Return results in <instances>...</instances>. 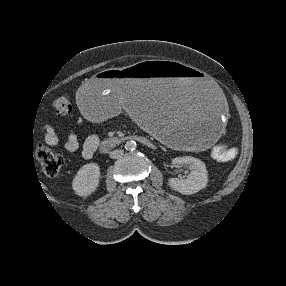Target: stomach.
Masks as SVG:
<instances>
[{
    "instance_id": "obj_1",
    "label": "stomach",
    "mask_w": 286,
    "mask_h": 286,
    "mask_svg": "<svg viewBox=\"0 0 286 286\" xmlns=\"http://www.w3.org/2000/svg\"><path fill=\"white\" fill-rule=\"evenodd\" d=\"M80 112L111 121L126 108L159 139L182 147L210 142L224 127L228 103L208 75L176 61L109 65L81 86Z\"/></svg>"
}]
</instances>
